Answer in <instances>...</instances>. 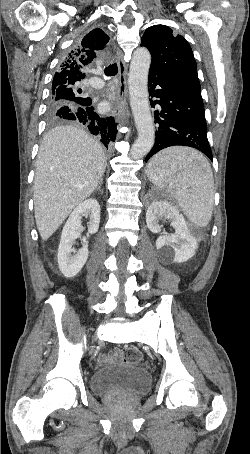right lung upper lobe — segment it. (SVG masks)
Returning a JSON list of instances; mask_svg holds the SVG:
<instances>
[{
  "instance_id": "cb5924a9",
  "label": "right lung upper lobe",
  "mask_w": 250,
  "mask_h": 454,
  "mask_svg": "<svg viewBox=\"0 0 250 454\" xmlns=\"http://www.w3.org/2000/svg\"><path fill=\"white\" fill-rule=\"evenodd\" d=\"M108 42L109 37L101 29H94L88 33L62 60L52 85L77 84L84 79L83 69L96 58V54L103 50Z\"/></svg>"
}]
</instances>
